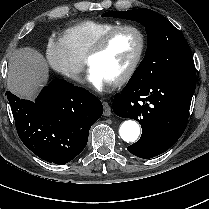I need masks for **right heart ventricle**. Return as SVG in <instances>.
I'll return each instance as SVG.
<instances>
[{
	"mask_svg": "<svg viewBox=\"0 0 209 209\" xmlns=\"http://www.w3.org/2000/svg\"><path fill=\"white\" fill-rule=\"evenodd\" d=\"M119 25L106 20H83L66 27L63 36L72 51L80 58H85L95 42L108 30Z\"/></svg>",
	"mask_w": 209,
	"mask_h": 209,
	"instance_id": "e07e8e85",
	"label": "right heart ventricle"
}]
</instances>
